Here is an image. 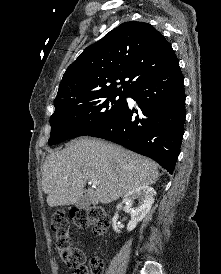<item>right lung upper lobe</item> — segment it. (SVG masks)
Returning a JSON list of instances; mask_svg holds the SVG:
<instances>
[{"label": "right lung upper lobe", "mask_w": 221, "mask_h": 274, "mask_svg": "<svg viewBox=\"0 0 221 274\" xmlns=\"http://www.w3.org/2000/svg\"><path fill=\"white\" fill-rule=\"evenodd\" d=\"M178 61L152 25L126 22L88 46L67 68L55 104L106 93L130 94ZM118 84L122 86L116 88Z\"/></svg>", "instance_id": "cb5924a9"}]
</instances>
